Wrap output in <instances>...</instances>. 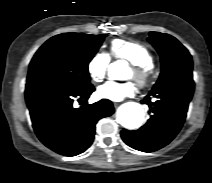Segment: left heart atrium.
Segmentation results:
<instances>
[{
  "instance_id": "39dd6f15",
  "label": "left heart atrium",
  "mask_w": 212,
  "mask_h": 183,
  "mask_svg": "<svg viewBox=\"0 0 212 183\" xmlns=\"http://www.w3.org/2000/svg\"><path fill=\"white\" fill-rule=\"evenodd\" d=\"M136 92L135 84L131 82L118 83L108 81L97 89V95L110 101H121L126 97L133 96Z\"/></svg>"
}]
</instances>
